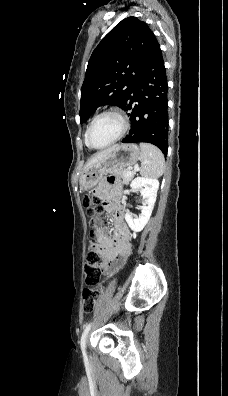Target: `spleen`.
Here are the masks:
<instances>
[{
	"mask_svg": "<svg viewBox=\"0 0 228 396\" xmlns=\"http://www.w3.org/2000/svg\"><path fill=\"white\" fill-rule=\"evenodd\" d=\"M140 174L148 178H159L164 173L165 160L162 152L149 143H140Z\"/></svg>",
	"mask_w": 228,
	"mask_h": 396,
	"instance_id": "obj_1",
	"label": "spleen"
}]
</instances>
